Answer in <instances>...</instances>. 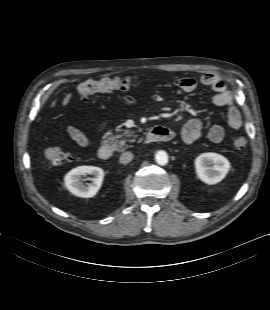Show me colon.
Returning a JSON list of instances; mask_svg holds the SVG:
<instances>
[{
  "label": "colon",
  "mask_w": 270,
  "mask_h": 310,
  "mask_svg": "<svg viewBox=\"0 0 270 310\" xmlns=\"http://www.w3.org/2000/svg\"><path fill=\"white\" fill-rule=\"evenodd\" d=\"M135 79L132 77L125 78H105L100 81H87L79 85L78 94L84 99L94 91H112L116 89H129L133 86ZM247 146L245 136H237L233 139V147L237 151H242ZM46 159L55 165L65 163L70 160V154L62 147H50L45 151Z\"/></svg>",
  "instance_id": "colon-1"
}]
</instances>
